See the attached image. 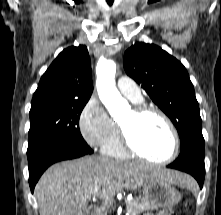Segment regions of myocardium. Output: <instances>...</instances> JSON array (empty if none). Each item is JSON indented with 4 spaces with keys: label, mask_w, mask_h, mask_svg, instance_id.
I'll return each mask as SVG.
<instances>
[{
    "label": "myocardium",
    "mask_w": 221,
    "mask_h": 215,
    "mask_svg": "<svg viewBox=\"0 0 221 215\" xmlns=\"http://www.w3.org/2000/svg\"><path fill=\"white\" fill-rule=\"evenodd\" d=\"M131 111L135 117H142L147 114H155V115L159 116L162 119V121L165 123V125L167 126V128L172 136L173 148H172L171 154L163 160L150 159L147 156L143 155L135 147V145L131 139L129 131L127 130V128L125 126H123L121 123H119L120 139H121L122 146H123L124 150L126 151V153L129 156H132L134 158L140 159L142 161H145L147 163L154 164V165H166V164H169L172 161H174L179 154L180 138H179V134H178L174 124L170 120V118L159 108L154 107V106H150V105H138V106H135Z\"/></svg>",
    "instance_id": "1"
}]
</instances>
